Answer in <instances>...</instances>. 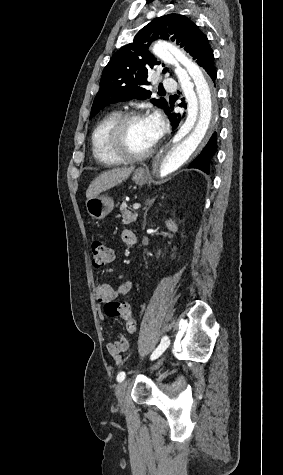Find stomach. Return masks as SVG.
Wrapping results in <instances>:
<instances>
[{
    "label": "stomach",
    "mask_w": 283,
    "mask_h": 475,
    "mask_svg": "<svg viewBox=\"0 0 283 475\" xmlns=\"http://www.w3.org/2000/svg\"><path fill=\"white\" fill-rule=\"evenodd\" d=\"M150 178L151 176L146 168H137L132 176V180L137 184V186L147 184ZM86 208L91 218H95V220H103V218H106V216L112 212L114 202L112 198H108V196H97V198H90V200H87Z\"/></svg>",
    "instance_id": "1"
}]
</instances>
